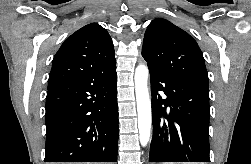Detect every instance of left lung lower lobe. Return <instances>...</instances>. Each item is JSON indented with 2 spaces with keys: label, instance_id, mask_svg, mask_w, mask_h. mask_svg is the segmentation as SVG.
Listing matches in <instances>:
<instances>
[{
  "label": "left lung lower lobe",
  "instance_id": "obj_1",
  "mask_svg": "<svg viewBox=\"0 0 251 164\" xmlns=\"http://www.w3.org/2000/svg\"><path fill=\"white\" fill-rule=\"evenodd\" d=\"M148 68L153 117L149 162H210L208 87Z\"/></svg>",
  "mask_w": 251,
  "mask_h": 164
}]
</instances>
